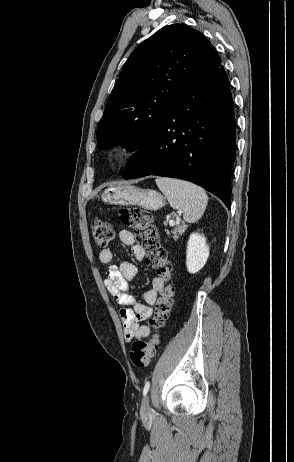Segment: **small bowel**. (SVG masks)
I'll return each instance as SVG.
<instances>
[{
	"mask_svg": "<svg viewBox=\"0 0 294 462\" xmlns=\"http://www.w3.org/2000/svg\"><path fill=\"white\" fill-rule=\"evenodd\" d=\"M119 238L124 245L131 246L136 259L141 260L144 257V252L135 243V236L132 232L122 230ZM99 260L109 265L104 284L107 291L121 306L120 316L125 340L130 342L147 337L151 331L150 327L141 322L152 316V306L157 302L158 293L164 288V279L154 276L151 280V289L143 293V302H140L132 294L130 285L137 275L136 266L127 261L116 262L115 255L110 249H102L99 252Z\"/></svg>",
	"mask_w": 294,
	"mask_h": 462,
	"instance_id": "c3829d8e",
	"label": "small bowel"
}]
</instances>
